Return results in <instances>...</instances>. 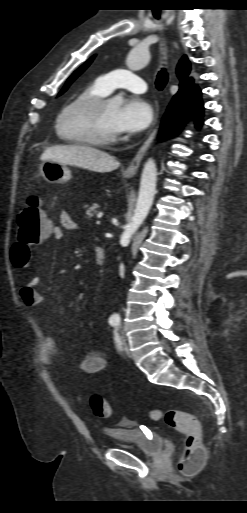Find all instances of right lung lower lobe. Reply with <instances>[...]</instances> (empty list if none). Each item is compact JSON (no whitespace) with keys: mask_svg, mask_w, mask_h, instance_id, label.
<instances>
[{"mask_svg":"<svg viewBox=\"0 0 247 513\" xmlns=\"http://www.w3.org/2000/svg\"><path fill=\"white\" fill-rule=\"evenodd\" d=\"M200 95L201 92L197 86L179 90L163 118L161 139H166L179 132L190 117L198 118L197 127H200L203 116V103Z\"/></svg>","mask_w":247,"mask_h":513,"instance_id":"right-lung-lower-lobe-1","label":"right lung lower lobe"}]
</instances>
